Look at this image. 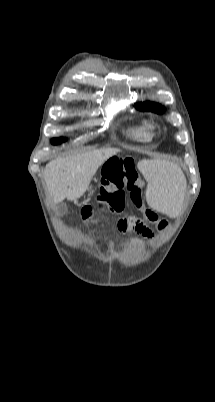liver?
<instances>
[{
    "instance_id": "6515ba94",
    "label": "liver",
    "mask_w": 215,
    "mask_h": 402,
    "mask_svg": "<svg viewBox=\"0 0 215 402\" xmlns=\"http://www.w3.org/2000/svg\"><path fill=\"white\" fill-rule=\"evenodd\" d=\"M118 152L119 149L106 148L50 161L44 180L52 202L57 204L65 198L77 201L88 190L98 168Z\"/></svg>"
}]
</instances>
